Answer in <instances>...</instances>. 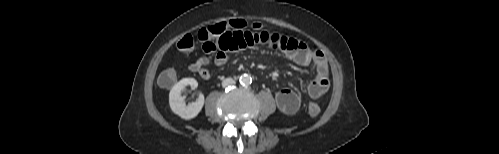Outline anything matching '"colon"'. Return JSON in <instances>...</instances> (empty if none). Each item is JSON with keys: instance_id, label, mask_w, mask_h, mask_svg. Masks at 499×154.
I'll use <instances>...</instances> for the list:
<instances>
[{"instance_id": "1", "label": "colon", "mask_w": 499, "mask_h": 154, "mask_svg": "<svg viewBox=\"0 0 499 154\" xmlns=\"http://www.w3.org/2000/svg\"><path fill=\"white\" fill-rule=\"evenodd\" d=\"M247 27V23L244 20L240 19H235L227 22H220L216 23L213 25H209L206 27L201 28L198 31L197 34V39L200 41H209L212 39H215L218 36H221L222 34L226 33L227 31L230 30H244ZM254 28H258V24L253 25ZM195 37L191 34H186L182 38H180L177 42V48L180 51H190L193 49L195 45ZM177 79V69L174 65L169 66L166 68L159 77V83L163 87H171L174 85ZM308 113L312 117H316L321 113V107L320 105L315 102L311 101L308 104Z\"/></svg>"}]
</instances>
